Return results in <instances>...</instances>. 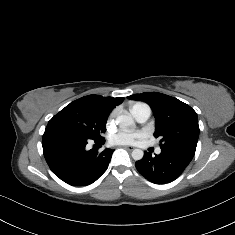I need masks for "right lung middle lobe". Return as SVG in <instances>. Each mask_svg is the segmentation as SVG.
Segmentation results:
<instances>
[{
	"mask_svg": "<svg viewBox=\"0 0 235 235\" xmlns=\"http://www.w3.org/2000/svg\"><path fill=\"white\" fill-rule=\"evenodd\" d=\"M108 115L88 107H65L49 123L74 131L87 139L102 140Z\"/></svg>",
	"mask_w": 235,
	"mask_h": 235,
	"instance_id": "obj_1",
	"label": "right lung middle lobe"
}]
</instances>
